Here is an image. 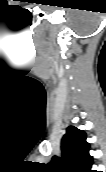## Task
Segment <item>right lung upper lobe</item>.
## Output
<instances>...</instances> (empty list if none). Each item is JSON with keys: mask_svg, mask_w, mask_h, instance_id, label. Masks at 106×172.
I'll list each match as a JSON object with an SVG mask.
<instances>
[{"mask_svg": "<svg viewBox=\"0 0 106 172\" xmlns=\"http://www.w3.org/2000/svg\"><path fill=\"white\" fill-rule=\"evenodd\" d=\"M86 138L83 130L69 126L61 141L62 156H53L48 168L52 172H92L93 158Z\"/></svg>", "mask_w": 106, "mask_h": 172, "instance_id": "cb5924a9", "label": "right lung upper lobe"}]
</instances>
